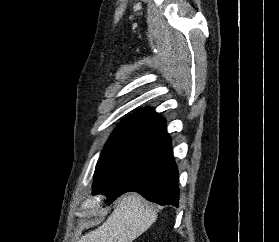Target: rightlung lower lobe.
I'll use <instances>...</instances> for the list:
<instances>
[{"instance_id":"obj_1","label":"right lung lower lobe","mask_w":279,"mask_h":242,"mask_svg":"<svg viewBox=\"0 0 279 242\" xmlns=\"http://www.w3.org/2000/svg\"><path fill=\"white\" fill-rule=\"evenodd\" d=\"M177 184L178 170L173 159L171 138L163 123L156 136L141 149L104 180L94 182L92 194L107 195L108 204H111L122 194L135 191L160 205L177 206Z\"/></svg>"}]
</instances>
